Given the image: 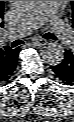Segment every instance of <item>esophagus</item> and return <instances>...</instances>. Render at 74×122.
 <instances>
[{
    "mask_svg": "<svg viewBox=\"0 0 74 122\" xmlns=\"http://www.w3.org/2000/svg\"><path fill=\"white\" fill-rule=\"evenodd\" d=\"M33 44L35 46H43L45 44H47V40L46 39H43V38H39V39H36Z\"/></svg>",
    "mask_w": 74,
    "mask_h": 122,
    "instance_id": "34e87169",
    "label": "esophagus"
}]
</instances>
